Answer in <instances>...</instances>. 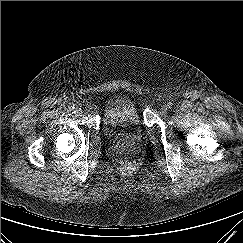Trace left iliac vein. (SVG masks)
Listing matches in <instances>:
<instances>
[{
    "label": "left iliac vein",
    "mask_w": 243,
    "mask_h": 243,
    "mask_svg": "<svg viewBox=\"0 0 243 243\" xmlns=\"http://www.w3.org/2000/svg\"><path fill=\"white\" fill-rule=\"evenodd\" d=\"M161 110L163 113H166L167 112V106L166 105H162L161 106Z\"/></svg>",
    "instance_id": "4c4485c4"
}]
</instances>
